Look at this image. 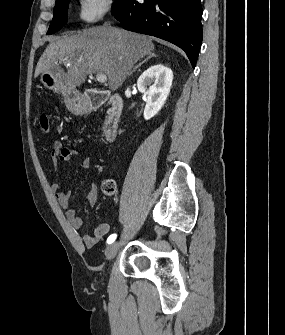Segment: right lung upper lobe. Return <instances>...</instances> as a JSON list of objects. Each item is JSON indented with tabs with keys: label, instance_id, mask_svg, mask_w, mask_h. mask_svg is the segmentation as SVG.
Returning a JSON list of instances; mask_svg holds the SVG:
<instances>
[{
	"label": "right lung upper lobe",
	"instance_id": "cb5924a9",
	"mask_svg": "<svg viewBox=\"0 0 285 335\" xmlns=\"http://www.w3.org/2000/svg\"><path fill=\"white\" fill-rule=\"evenodd\" d=\"M62 0H56V3H59V2H61Z\"/></svg>",
	"mask_w": 285,
	"mask_h": 335
}]
</instances>
